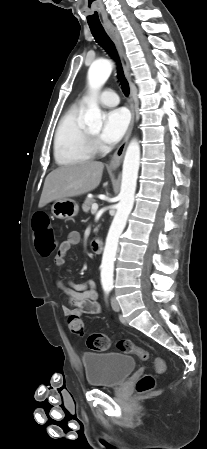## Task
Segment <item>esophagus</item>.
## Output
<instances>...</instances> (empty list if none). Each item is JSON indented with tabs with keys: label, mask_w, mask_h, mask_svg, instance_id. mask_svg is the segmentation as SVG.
Instances as JSON below:
<instances>
[{
	"label": "esophagus",
	"mask_w": 207,
	"mask_h": 449,
	"mask_svg": "<svg viewBox=\"0 0 207 449\" xmlns=\"http://www.w3.org/2000/svg\"><path fill=\"white\" fill-rule=\"evenodd\" d=\"M104 27H105L106 31L109 33V35L111 36V38L113 39V41L117 47V51H118V54H119V57H120V60H121L122 66H123V70L125 72L127 79L131 83L129 62L126 57L125 49H124L119 31L111 23L105 24ZM129 103H130V111H131V122H130V125L128 127V130L126 132V135H125L122 143L119 145L117 150L114 152V154L110 160L109 166L112 168H116L121 164L128 140L130 138V135H131V132L133 129L134 119H135V109H134V98H133V90L132 89L130 90Z\"/></svg>",
	"instance_id": "obj_1"
}]
</instances>
